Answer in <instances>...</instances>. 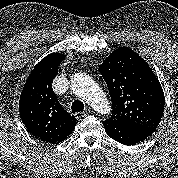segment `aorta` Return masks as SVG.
I'll use <instances>...</instances> for the list:
<instances>
[{"label":"aorta","mask_w":178,"mask_h":178,"mask_svg":"<svg viewBox=\"0 0 178 178\" xmlns=\"http://www.w3.org/2000/svg\"><path fill=\"white\" fill-rule=\"evenodd\" d=\"M71 88L76 95L84 99L99 113L108 114L110 112L111 108L106 95L98 84L86 74L73 75Z\"/></svg>","instance_id":"obj_1"}]
</instances>
